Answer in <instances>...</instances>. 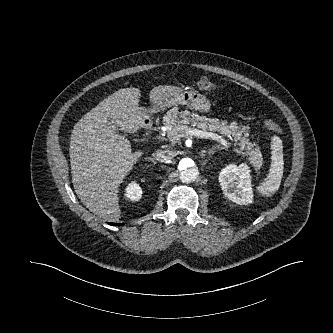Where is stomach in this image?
Masks as SVG:
<instances>
[{"mask_svg":"<svg viewBox=\"0 0 333 333\" xmlns=\"http://www.w3.org/2000/svg\"><path fill=\"white\" fill-rule=\"evenodd\" d=\"M183 105L191 110L208 112L210 110V101L196 91H181L173 96H168L161 103L154 106L152 112L163 111L166 108Z\"/></svg>","mask_w":333,"mask_h":333,"instance_id":"1","label":"stomach"}]
</instances>
